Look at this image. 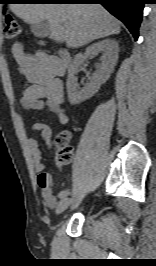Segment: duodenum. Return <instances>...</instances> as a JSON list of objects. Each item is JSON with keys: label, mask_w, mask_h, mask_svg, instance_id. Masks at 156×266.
Returning a JSON list of instances; mask_svg holds the SVG:
<instances>
[{"label": "duodenum", "mask_w": 156, "mask_h": 266, "mask_svg": "<svg viewBox=\"0 0 156 266\" xmlns=\"http://www.w3.org/2000/svg\"><path fill=\"white\" fill-rule=\"evenodd\" d=\"M70 61H71L70 52L67 49H61L59 51L58 58L56 59L54 64L57 75H61L64 73Z\"/></svg>", "instance_id": "410a0bca"}]
</instances>
